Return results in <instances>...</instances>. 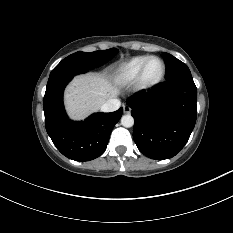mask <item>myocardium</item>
<instances>
[{
	"label": "myocardium",
	"mask_w": 233,
	"mask_h": 233,
	"mask_svg": "<svg viewBox=\"0 0 233 233\" xmlns=\"http://www.w3.org/2000/svg\"><path fill=\"white\" fill-rule=\"evenodd\" d=\"M153 59H157L161 62L162 64V72L160 74V76L154 80V81H147L145 79V71H146V67L148 65V63L153 60ZM166 75V64L164 62V60L158 56H149L145 62L143 63L139 73H138V76L135 80V86H136V89L139 90V91H148V90H151L153 89L154 87H156L157 85H159L164 77Z\"/></svg>",
	"instance_id": "myocardium-1"
}]
</instances>
